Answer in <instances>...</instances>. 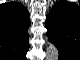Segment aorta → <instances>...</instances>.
I'll use <instances>...</instances> for the list:
<instances>
[{"label": "aorta", "mask_w": 80, "mask_h": 60, "mask_svg": "<svg viewBox=\"0 0 80 60\" xmlns=\"http://www.w3.org/2000/svg\"><path fill=\"white\" fill-rule=\"evenodd\" d=\"M51 49L56 53L57 55V49L54 46H51Z\"/></svg>", "instance_id": "obj_1"}]
</instances>
